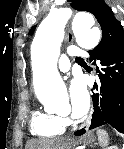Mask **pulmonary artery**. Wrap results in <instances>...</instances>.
Returning <instances> with one entry per match:
<instances>
[{"label": "pulmonary artery", "mask_w": 124, "mask_h": 149, "mask_svg": "<svg viewBox=\"0 0 124 149\" xmlns=\"http://www.w3.org/2000/svg\"><path fill=\"white\" fill-rule=\"evenodd\" d=\"M87 52L75 46L67 47L66 53L61 56L59 70L67 72L70 69V62L73 57H86Z\"/></svg>", "instance_id": "obj_1"}]
</instances>
